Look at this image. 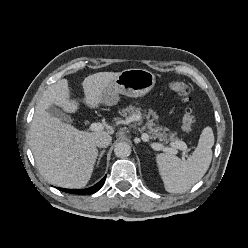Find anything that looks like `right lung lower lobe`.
Returning <instances> with one entry per match:
<instances>
[{
  "instance_id": "obj_1",
  "label": "right lung lower lobe",
  "mask_w": 248,
  "mask_h": 248,
  "mask_svg": "<svg viewBox=\"0 0 248 248\" xmlns=\"http://www.w3.org/2000/svg\"><path fill=\"white\" fill-rule=\"evenodd\" d=\"M105 178L104 177L100 182H98L97 184H95L94 186L90 187V188H87V189H79V190H70V189H62V188H59L61 191H64V192H68V193H71V194H79V195H86V194H92V193H95L97 192L104 184L105 182Z\"/></svg>"
}]
</instances>
